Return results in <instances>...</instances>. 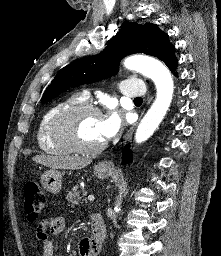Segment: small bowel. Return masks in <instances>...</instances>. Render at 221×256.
Masks as SVG:
<instances>
[{
    "label": "small bowel",
    "instance_id": "1",
    "mask_svg": "<svg viewBox=\"0 0 221 256\" xmlns=\"http://www.w3.org/2000/svg\"><path fill=\"white\" fill-rule=\"evenodd\" d=\"M65 228L63 217H51L42 221L37 226V236L42 242V256H54L53 242L48 238V234H59ZM100 245L94 244L89 237L83 238L79 243L80 256H98Z\"/></svg>",
    "mask_w": 221,
    "mask_h": 256
}]
</instances>
